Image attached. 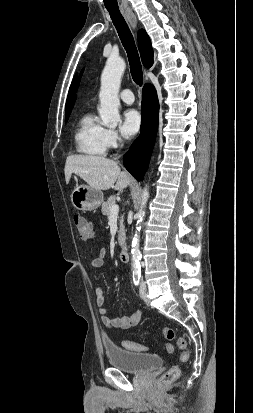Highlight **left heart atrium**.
Wrapping results in <instances>:
<instances>
[{"label":"left heart atrium","mask_w":253,"mask_h":413,"mask_svg":"<svg viewBox=\"0 0 253 413\" xmlns=\"http://www.w3.org/2000/svg\"><path fill=\"white\" fill-rule=\"evenodd\" d=\"M141 127V116L139 112L135 109H127L122 115V120L120 124L121 134L130 139L135 136Z\"/></svg>","instance_id":"left-heart-atrium-1"}]
</instances>
